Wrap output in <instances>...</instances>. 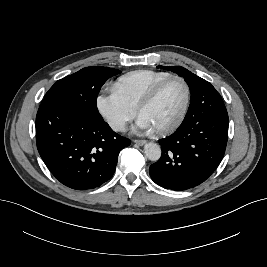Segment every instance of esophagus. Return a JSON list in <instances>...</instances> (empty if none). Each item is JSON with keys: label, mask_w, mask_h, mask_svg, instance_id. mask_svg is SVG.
Returning <instances> with one entry per match:
<instances>
[{"label": "esophagus", "mask_w": 267, "mask_h": 267, "mask_svg": "<svg viewBox=\"0 0 267 267\" xmlns=\"http://www.w3.org/2000/svg\"><path fill=\"white\" fill-rule=\"evenodd\" d=\"M134 143L138 146H142L146 143V141L145 140H134Z\"/></svg>", "instance_id": "obj_1"}]
</instances>
